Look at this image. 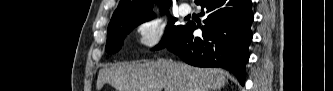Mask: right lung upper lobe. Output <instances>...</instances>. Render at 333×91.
<instances>
[{"label": "right lung upper lobe", "mask_w": 333, "mask_h": 91, "mask_svg": "<svg viewBox=\"0 0 333 91\" xmlns=\"http://www.w3.org/2000/svg\"><path fill=\"white\" fill-rule=\"evenodd\" d=\"M158 1L162 12L166 11L171 4V0ZM199 1L195 0V3L197 4ZM152 2L153 0H121L110 22L151 15L153 14L151 12Z\"/></svg>", "instance_id": "right-lung-upper-lobe-1"}]
</instances>
